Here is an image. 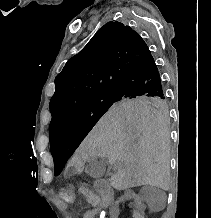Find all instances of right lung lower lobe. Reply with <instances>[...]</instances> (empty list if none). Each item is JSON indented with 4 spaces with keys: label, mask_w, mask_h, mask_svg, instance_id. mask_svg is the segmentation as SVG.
Masks as SVG:
<instances>
[{
    "label": "right lung lower lobe",
    "mask_w": 211,
    "mask_h": 218,
    "mask_svg": "<svg viewBox=\"0 0 211 218\" xmlns=\"http://www.w3.org/2000/svg\"><path fill=\"white\" fill-rule=\"evenodd\" d=\"M115 92L121 97L129 98H165L159 71L151 54L124 77Z\"/></svg>",
    "instance_id": "obj_1"
}]
</instances>
